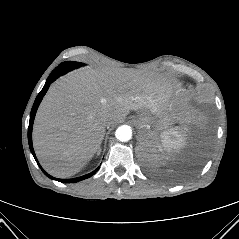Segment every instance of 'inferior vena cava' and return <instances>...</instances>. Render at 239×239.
Returning a JSON list of instances; mask_svg holds the SVG:
<instances>
[{
  "mask_svg": "<svg viewBox=\"0 0 239 239\" xmlns=\"http://www.w3.org/2000/svg\"><path fill=\"white\" fill-rule=\"evenodd\" d=\"M113 123V118H111V117H109V118H107L106 120H105V125L106 126H109V125H111Z\"/></svg>",
  "mask_w": 239,
  "mask_h": 239,
  "instance_id": "inferior-vena-cava-1",
  "label": "inferior vena cava"
}]
</instances>
